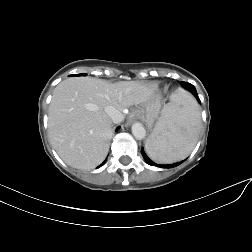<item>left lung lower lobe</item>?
Returning <instances> with one entry per match:
<instances>
[{
    "label": "left lung lower lobe",
    "instance_id": "0a47b994",
    "mask_svg": "<svg viewBox=\"0 0 252 252\" xmlns=\"http://www.w3.org/2000/svg\"><path fill=\"white\" fill-rule=\"evenodd\" d=\"M181 84H182L183 87H185V88H187L188 90H190V91L195 95V97L197 98V100L200 101V100H199V97H198V95H197V91H196L195 87H194L192 84L187 83V82H181ZM141 153H142V155H143L145 161H146L149 165L157 166V167H161V168H173V167H176V166L180 165V164L183 162V161H181V162H177V163H174V164L159 165V164L154 163L152 160H150V159L147 157V155L145 154L143 148L141 149Z\"/></svg>",
    "mask_w": 252,
    "mask_h": 252
}]
</instances>
